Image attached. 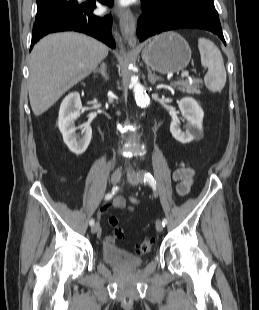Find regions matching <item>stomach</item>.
Here are the masks:
<instances>
[{
	"label": "stomach",
	"mask_w": 259,
	"mask_h": 310,
	"mask_svg": "<svg viewBox=\"0 0 259 310\" xmlns=\"http://www.w3.org/2000/svg\"><path fill=\"white\" fill-rule=\"evenodd\" d=\"M141 56L148 67L167 74L187 67L191 59V49L183 37L174 32H167L145 45Z\"/></svg>",
	"instance_id": "obj_1"
}]
</instances>
